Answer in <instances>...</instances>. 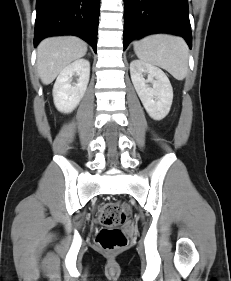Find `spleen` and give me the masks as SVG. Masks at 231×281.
Listing matches in <instances>:
<instances>
[{
	"mask_svg": "<svg viewBox=\"0 0 231 281\" xmlns=\"http://www.w3.org/2000/svg\"><path fill=\"white\" fill-rule=\"evenodd\" d=\"M137 57L146 63L159 66L175 79L183 80L188 72L189 49L181 37L157 34L134 42Z\"/></svg>",
	"mask_w": 231,
	"mask_h": 281,
	"instance_id": "3e777b00",
	"label": "spleen"
}]
</instances>
